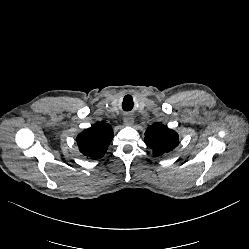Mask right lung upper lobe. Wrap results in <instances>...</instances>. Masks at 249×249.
I'll return each instance as SVG.
<instances>
[{
    "instance_id": "1",
    "label": "right lung upper lobe",
    "mask_w": 249,
    "mask_h": 249,
    "mask_svg": "<svg viewBox=\"0 0 249 249\" xmlns=\"http://www.w3.org/2000/svg\"><path fill=\"white\" fill-rule=\"evenodd\" d=\"M112 139L113 131L110 125L105 122H97L91 128L81 132L76 141L84 156L90 159H99L106 153Z\"/></svg>"
}]
</instances>
